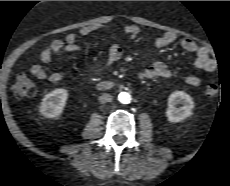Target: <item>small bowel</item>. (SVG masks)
Wrapping results in <instances>:
<instances>
[{"label":"small bowel","instance_id":"obj_1","mask_svg":"<svg viewBox=\"0 0 230 186\" xmlns=\"http://www.w3.org/2000/svg\"><path fill=\"white\" fill-rule=\"evenodd\" d=\"M108 25H92L86 26L79 30V34L81 36H87L93 33L96 30L108 29ZM124 34L130 37H137L140 34V28L136 25L129 24L126 25L123 29ZM78 35L76 33H69L66 35L64 39H57L50 43L48 47H46L39 55V64H35L31 67L30 72L33 76L38 79H48L52 84L60 83L65 75L62 72H55L49 74L46 68L43 66L48 64L54 55L61 54L64 52H71L79 50V46L77 45ZM178 40V37L174 33H165L161 36H158L154 39V47L162 48L169 46L175 43ZM180 46L186 52L194 54L193 65L196 69L201 71L211 73L216 70L217 63L214 59H212L209 55L208 50L197 44L195 41L184 38L180 41ZM123 55L122 48L118 44H113L109 49V54L107 61L102 67H99L96 70V73H100L108 68H110L113 64L118 62ZM173 76L172 72L166 67L164 63L161 61L153 60L151 65L142 71L139 74V78L142 80L146 79H162L168 80ZM186 83L190 86H199L201 80L199 77L190 75L186 77Z\"/></svg>","mask_w":230,"mask_h":186}]
</instances>
